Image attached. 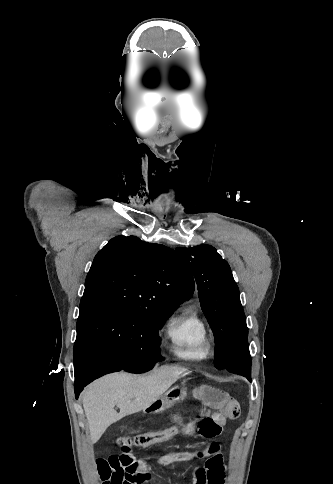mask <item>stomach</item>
<instances>
[{
  "instance_id": "1",
  "label": "stomach",
  "mask_w": 333,
  "mask_h": 484,
  "mask_svg": "<svg viewBox=\"0 0 333 484\" xmlns=\"http://www.w3.org/2000/svg\"><path fill=\"white\" fill-rule=\"evenodd\" d=\"M186 395V389L183 386H175L150 407H148L146 411L149 413H158L164 411L172 407L175 402L183 401Z\"/></svg>"
}]
</instances>
